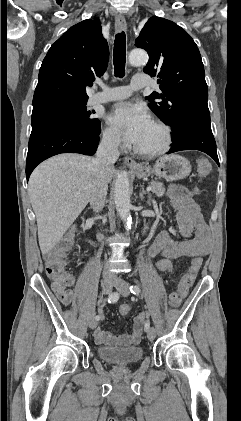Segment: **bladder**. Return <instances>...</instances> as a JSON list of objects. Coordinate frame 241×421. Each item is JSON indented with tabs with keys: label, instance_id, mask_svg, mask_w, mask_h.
Here are the masks:
<instances>
[{
	"label": "bladder",
	"instance_id": "bladder-1",
	"mask_svg": "<svg viewBox=\"0 0 241 421\" xmlns=\"http://www.w3.org/2000/svg\"><path fill=\"white\" fill-rule=\"evenodd\" d=\"M97 354L100 359L114 365H131L143 358V349L140 346L130 347H97Z\"/></svg>",
	"mask_w": 241,
	"mask_h": 421
}]
</instances>
